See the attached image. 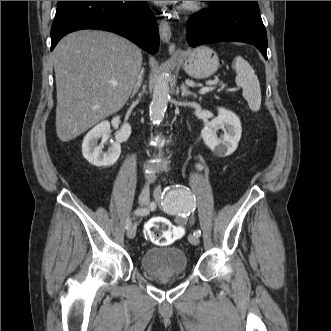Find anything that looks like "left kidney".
<instances>
[{
  "instance_id": "left-kidney-1",
  "label": "left kidney",
  "mask_w": 331,
  "mask_h": 331,
  "mask_svg": "<svg viewBox=\"0 0 331 331\" xmlns=\"http://www.w3.org/2000/svg\"><path fill=\"white\" fill-rule=\"evenodd\" d=\"M222 129L224 135L218 138L217 131ZM242 134L240 119L231 111L219 107L218 116L201 132L205 144L219 157L231 155L237 148Z\"/></svg>"
}]
</instances>
